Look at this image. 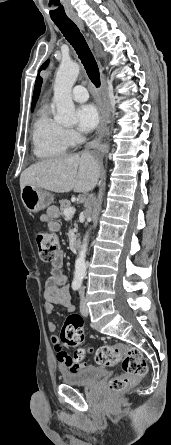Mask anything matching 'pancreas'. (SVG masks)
Masks as SVG:
<instances>
[{
    "mask_svg": "<svg viewBox=\"0 0 171 445\" xmlns=\"http://www.w3.org/2000/svg\"><path fill=\"white\" fill-rule=\"evenodd\" d=\"M71 205L69 200H61L60 201V209L63 212L65 209L69 208ZM75 227L77 228V224H75Z\"/></svg>",
    "mask_w": 171,
    "mask_h": 445,
    "instance_id": "1",
    "label": "pancreas"
}]
</instances>
